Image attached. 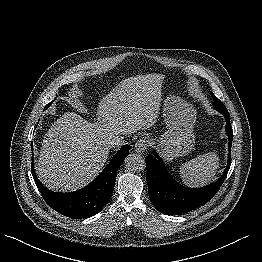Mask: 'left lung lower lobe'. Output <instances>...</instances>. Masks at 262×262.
Returning <instances> with one entry per match:
<instances>
[{
    "label": "left lung lower lobe",
    "instance_id": "0a47b994",
    "mask_svg": "<svg viewBox=\"0 0 262 262\" xmlns=\"http://www.w3.org/2000/svg\"><path fill=\"white\" fill-rule=\"evenodd\" d=\"M226 119V134L229 138L228 162L224 174L214 183L201 188H188L177 183L168 173L163 160L154 151L146 156L149 197L153 206L164 214H181L207 203L219 190L231 165V144L233 131L230 116L226 110H217Z\"/></svg>",
    "mask_w": 262,
    "mask_h": 262
}]
</instances>
